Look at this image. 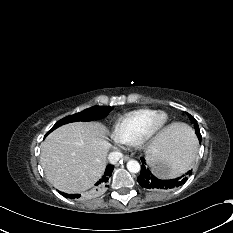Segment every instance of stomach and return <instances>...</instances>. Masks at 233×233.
Wrapping results in <instances>:
<instances>
[{
    "label": "stomach",
    "instance_id": "0dacf381",
    "mask_svg": "<svg viewBox=\"0 0 233 233\" xmlns=\"http://www.w3.org/2000/svg\"><path fill=\"white\" fill-rule=\"evenodd\" d=\"M154 173L162 178H169L173 176V169L171 161L166 157H158L149 161Z\"/></svg>",
    "mask_w": 233,
    "mask_h": 233
}]
</instances>
